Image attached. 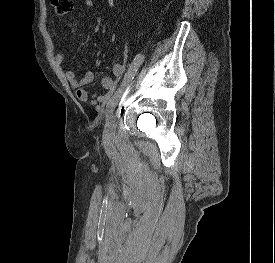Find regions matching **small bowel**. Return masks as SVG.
I'll list each match as a JSON object with an SVG mask.
<instances>
[{"label": "small bowel", "instance_id": "small-bowel-1", "mask_svg": "<svg viewBox=\"0 0 275 263\" xmlns=\"http://www.w3.org/2000/svg\"><path fill=\"white\" fill-rule=\"evenodd\" d=\"M93 7V0H82L79 8L80 10H89ZM54 59L57 64L62 65L64 63V55L59 52L56 53ZM113 76L106 77L102 80V86L107 91L104 95H90L86 89L87 84H91L96 81V76L92 71H87L83 78L79 79L73 70H67L65 72V77L73 88L76 97L80 101H89L91 104H98L101 102H106L110 96L116 91L118 83L121 78L126 75V67L117 62H113Z\"/></svg>", "mask_w": 275, "mask_h": 263}]
</instances>
